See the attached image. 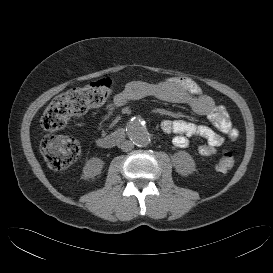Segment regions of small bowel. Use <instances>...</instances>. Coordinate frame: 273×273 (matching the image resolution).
<instances>
[{
    "mask_svg": "<svg viewBox=\"0 0 273 273\" xmlns=\"http://www.w3.org/2000/svg\"><path fill=\"white\" fill-rule=\"evenodd\" d=\"M146 97L187 105L195 113L205 116L218 130L217 132L209 126L180 119L162 121L161 130L174 134L173 144L177 148L188 147L191 137H201L205 143L198 147V152L208 157L216 154L223 145L225 136L231 141L238 138V132L232 127L224 107L217 105L210 96L203 94L199 85L186 77H170L158 82L131 79L125 84L124 89L116 94L109 111L124 106L129 101ZM107 118L106 115L101 119L100 128L104 127Z\"/></svg>",
    "mask_w": 273,
    "mask_h": 273,
    "instance_id": "small-bowel-1",
    "label": "small bowel"
}]
</instances>
